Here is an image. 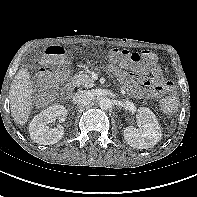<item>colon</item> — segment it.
<instances>
[{
	"label": "colon",
	"mask_w": 197,
	"mask_h": 197,
	"mask_svg": "<svg viewBox=\"0 0 197 197\" xmlns=\"http://www.w3.org/2000/svg\"><path fill=\"white\" fill-rule=\"evenodd\" d=\"M65 56L66 50L59 46H51L46 50L44 61L50 67L40 76L38 93L41 96L51 95L56 86L67 78L68 64ZM110 56L125 63H132L142 70L154 67L157 62L156 55L150 50L112 49ZM177 104V96L171 93L162 101V108L166 113L171 114L176 110Z\"/></svg>",
	"instance_id": "obj_1"
}]
</instances>
